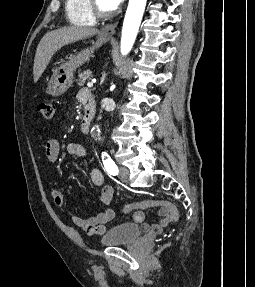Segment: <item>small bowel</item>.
Here are the masks:
<instances>
[{"label": "small bowel", "instance_id": "c3829d8e", "mask_svg": "<svg viewBox=\"0 0 255 287\" xmlns=\"http://www.w3.org/2000/svg\"><path fill=\"white\" fill-rule=\"evenodd\" d=\"M60 147L59 142L55 138H51L47 141L45 146V156L49 163L56 162L59 155ZM66 151L69 155L85 159L88 156L86 148L77 142H70L66 146ZM90 178L93 185L97 187H102L99 193V200L102 204L108 205L113 199V188L110 185L104 184V176L101 170L97 167H92L90 169ZM53 202L56 206L61 207L64 204V195L58 190L54 189L51 192ZM116 216V210L113 208H105L101 210L96 215L89 218L73 217L72 222L88 232L91 235L103 234L107 227L106 225L111 222ZM159 221L154 224H148L145 222L144 213L141 211L133 212L131 215V220L133 223L141 224L143 229L152 233H161L170 223L171 219L165 209H160L158 211Z\"/></svg>", "mask_w": 255, "mask_h": 287}]
</instances>
